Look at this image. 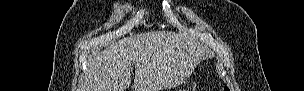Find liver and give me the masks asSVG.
Returning a JSON list of instances; mask_svg holds the SVG:
<instances>
[{
    "instance_id": "liver-1",
    "label": "liver",
    "mask_w": 304,
    "mask_h": 91,
    "mask_svg": "<svg viewBox=\"0 0 304 91\" xmlns=\"http://www.w3.org/2000/svg\"><path fill=\"white\" fill-rule=\"evenodd\" d=\"M186 34L153 31L110 45L85 70L79 91H126L135 64L134 91H163L183 83L209 55Z\"/></svg>"
}]
</instances>
